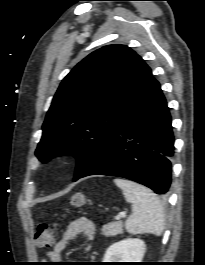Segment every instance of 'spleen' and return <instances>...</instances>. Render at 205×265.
<instances>
[{
  "label": "spleen",
  "mask_w": 205,
  "mask_h": 265,
  "mask_svg": "<svg viewBox=\"0 0 205 265\" xmlns=\"http://www.w3.org/2000/svg\"><path fill=\"white\" fill-rule=\"evenodd\" d=\"M127 202L132 204L133 213L125 222L130 234H154L160 236L165 227L163 207L154 192L133 181L116 178Z\"/></svg>",
  "instance_id": "obj_1"
}]
</instances>
